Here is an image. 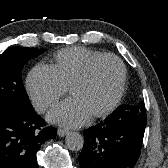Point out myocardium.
Returning a JSON list of instances; mask_svg holds the SVG:
<instances>
[{
  "label": "myocardium",
  "instance_id": "obj_1",
  "mask_svg": "<svg viewBox=\"0 0 168 168\" xmlns=\"http://www.w3.org/2000/svg\"><path fill=\"white\" fill-rule=\"evenodd\" d=\"M107 59H112L118 64L119 69H120V80H119L118 88H117L114 98L104 109L92 114V116L95 118H100V117L109 115L118 107V105L120 104L122 100V97L125 91L126 79H127V71H126V67L122 59L112 53L102 54L92 59L83 69V71L73 80V82L70 85V91H71L73 87L86 82L91 76L96 65L100 63L101 61L107 60Z\"/></svg>",
  "mask_w": 168,
  "mask_h": 168
}]
</instances>
